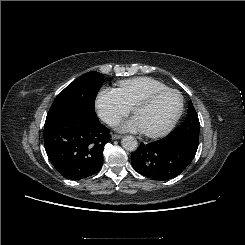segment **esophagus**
Masks as SVG:
<instances>
[{
  "label": "esophagus",
  "mask_w": 245,
  "mask_h": 245,
  "mask_svg": "<svg viewBox=\"0 0 245 245\" xmlns=\"http://www.w3.org/2000/svg\"><path fill=\"white\" fill-rule=\"evenodd\" d=\"M121 137H122L121 135L113 134V135L111 136V139H112V140H117V139H120Z\"/></svg>",
  "instance_id": "esophagus-1"
}]
</instances>
